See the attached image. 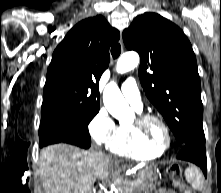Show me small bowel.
I'll list each match as a JSON object with an SVG mask.
<instances>
[{"instance_id": "obj_1", "label": "small bowel", "mask_w": 221, "mask_h": 193, "mask_svg": "<svg viewBox=\"0 0 221 193\" xmlns=\"http://www.w3.org/2000/svg\"><path fill=\"white\" fill-rule=\"evenodd\" d=\"M156 193H177L172 189H160L158 191H156Z\"/></svg>"}]
</instances>
